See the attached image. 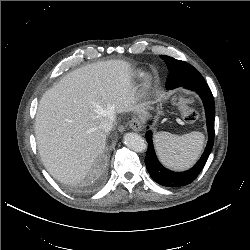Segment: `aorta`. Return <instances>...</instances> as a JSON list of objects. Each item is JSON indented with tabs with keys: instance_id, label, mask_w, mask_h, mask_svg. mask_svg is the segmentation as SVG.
I'll list each match as a JSON object with an SVG mask.
<instances>
[{
	"instance_id": "762f6f07",
	"label": "aorta",
	"mask_w": 250,
	"mask_h": 250,
	"mask_svg": "<svg viewBox=\"0 0 250 250\" xmlns=\"http://www.w3.org/2000/svg\"><path fill=\"white\" fill-rule=\"evenodd\" d=\"M123 139L124 144L135 152H144L147 149L146 141L137 133H126Z\"/></svg>"
}]
</instances>
